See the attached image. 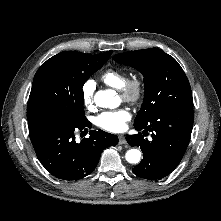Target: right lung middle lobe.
I'll return each mask as SVG.
<instances>
[{
  "mask_svg": "<svg viewBox=\"0 0 221 221\" xmlns=\"http://www.w3.org/2000/svg\"><path fill=\"white\" fill-rule=\"evenodd\" d=\"M108 59L74 51L61 52L48 59L35 74L29 96L28 120L42 114L67 121H86L83 85Z\"/></svg>",
  "mask_w": 221,
  "mask_h": 221,
  "instance_id": "dd1d6c3e",
  "label": "right lung middle lobe"
}]
</instances>
